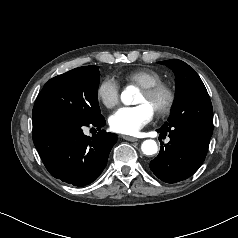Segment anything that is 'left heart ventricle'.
Instances as JSON below:
<instances>
[{"instance_id": "obj_1", "label": "left heart ventricle", "mask_w": 238, "mask_h": 238, "mask_svg": "<svg viewBox=\"0 0 238 238\" xmlns=\"http://www.w3.org/2000/svg\"><path fill=\"white\" fill-rule=\"evenodd\" d=\"M161 99H159L160 101ZM138 103H148L152 108L154 107V102L147 98V96L141 91L140 96L138 98Z\"/></svg>"}]
</instances>
